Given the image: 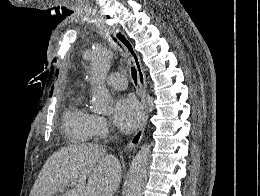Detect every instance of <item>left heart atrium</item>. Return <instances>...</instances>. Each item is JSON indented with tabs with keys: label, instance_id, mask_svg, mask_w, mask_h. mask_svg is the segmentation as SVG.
I'll list each match as a JSON object with an SVG mask.
<instances>
[{
	"label": "left heart atrium",
	"instance_id": "obj_1",
	"mask_svg": "<svg viewBox=\"0 0 260 196\" xmlns=\"http://www.w3.org/2000/svg\"><path fill=\"white\" fill-rule=\"evenodd\" d=\"M143 117V108L132 96H121L114 102L112 121L122 132L134 130Z\"/></svg>",
	"mask_w": 260,
	"mask_h": 196
}]
</instances>
